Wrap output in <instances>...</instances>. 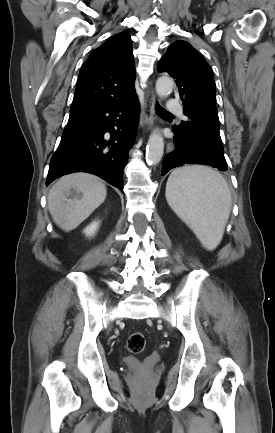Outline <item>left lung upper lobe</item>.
Returning a JSON list of instances; mask_svg holds the SVG:
<instances>
[{"label": "left lung upper lobe", "instance_id": "left-lung-upper-lobe-1", "mask_svg": "<svg viewBox=\"0 0 275 433\" xmlns=\"http://www.w3.org/2000/svg\"><path fill=\"white\" fill-rule=\"evenodd\" d=\"M157 69L175 79L184 114L189 118L175 125L173 132L186 140L198 156L219 169L227 170L211 67L188 42L178 40L169 46Z\"/></svg>", "mask_w": 275, "mask_h": 433}]
</instances>
